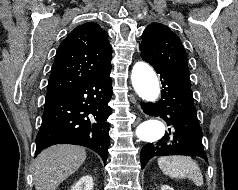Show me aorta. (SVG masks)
<instances>
[{
	"mask_svg": "<svg viewBox=\"0 0 238 190\" xmlns=\"http://www.w3.org/2000/svg\"><path fill=\"white\" fill-rule=\"evenodd\" d=\"M132 85L136 93L147 102H155L160 94L158 78L153 69L144 62H137L132 69ZM165 134V126L157 118H148L136 129V136L146 143H154Z\"/></svg>",
	"mask_w": 238,
	"mask_h": 190,
	"instance_id": "aorta-1",
	"label": "aorta"
}]
</instances>
